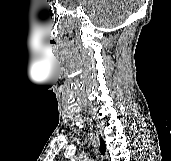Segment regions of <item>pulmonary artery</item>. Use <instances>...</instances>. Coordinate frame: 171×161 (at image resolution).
<instances>
[{"label": "pulmonary artery", "instance_id": "e3ab8cb5", "mask_svg": "<svg viewBox=\"0 0 171 161\" xmlns=\"http://www.w3.org/2000/svg\"><path fill=\"white\" fill-rule=\"evenodd\" d=\"M84 161H89V160H87V159H84Z\"/></svg>", "mask_w": 171, "mask_h": 161}]
</instances>
